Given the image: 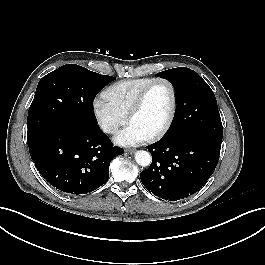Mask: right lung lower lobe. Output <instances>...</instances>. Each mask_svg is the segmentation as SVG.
<instances>
[{"instance_id":"obj_1","label":"right lung lower lobe","mask_w":265,"mask_h":265,"mask_svg":"<svg viewBox=\"0 0 265 265\" xmlns=\"http://www.w3.org/2000/svg\"><path fill=\"white\" fill-rule=\"evenodd\" d=\"M31 158L40 174L70 194L92 192L109 178L111 160L123 154L98 126H65L28 137Z\"/></svg>"}]
</instances>
